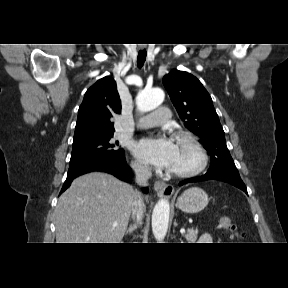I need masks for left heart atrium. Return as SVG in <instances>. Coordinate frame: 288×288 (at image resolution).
Wrapping results in <instances>:
<instances>
[{"mask_svg": "<svg viewBox=\"0 0 288 288\" xmlns=\"http://www.w3.org/2000/svg\"><path fill=\"white\" fill-rule=\"evenodd\" d=\"M134 155L157 168H169L176 155V144L164 135L150 136L135 142Z\"/></svg>", "mask_w": 288, "mask_h": 288, "instance_id": "1", "label": "left heart atrium"}]
</instances>
